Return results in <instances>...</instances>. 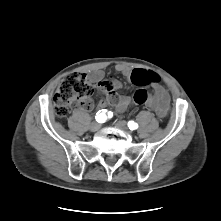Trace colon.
Listing matches in <instances>:
<instances>
[{
    "label": "colon",
    "instance_id": "1",
    "mask_svg": "<svg viewBox=\"0 0 221 221\" xmlns=\"http://www.w3.org/2000/svg\"><path fill=\"white\" fill-rule=\"evenodd\" d=\"M131 80L139 87H143L142 83L148 81L150 83H158L160 77L154 72H144L135 69L132 72ZM92 88L86 81L84 75L80 73H72L67 75L61 82L59 89L54 96V108L58 117H65L70 109L81 104L85 109L91 106L90 96ZM136 104H145L148 100V92L144 88H139L133 96Z\"/></svg>",
    "mask_w": 221,
    "mask_h": 221
}]
</instances>
